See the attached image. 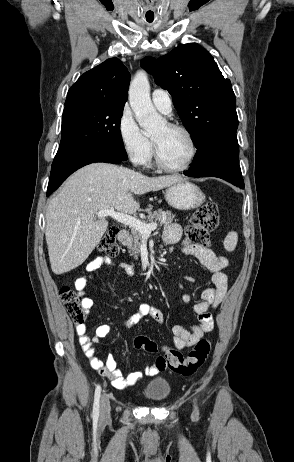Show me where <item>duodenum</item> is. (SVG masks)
I'll return each instance as SVG.
<instances>
[{
  "mask_svg": "<svg viewBox=\"0 0 294 462\" xmlns=\"http://www.w3.org/2000/svg\"><path fill=\"white\" fill-rule=\"evenodd\" d=\"M117 238L120 242H126L129 238V232L128 230L126 229H121L118 234H117Z\"/></svg>",
  "mask_w": 294,
  "mask_h": 462,
  "instance_id": "duodenum-1",
  "label": "duodenum"
}]
</instances>
